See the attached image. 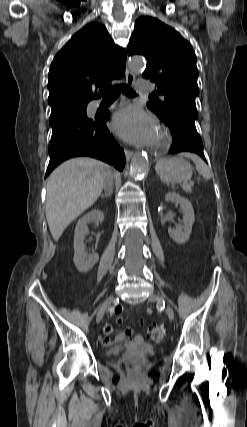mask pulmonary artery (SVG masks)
I'll return each instance as SVG.
<instances>
[{"instance_id":"e3ab8cb5","label":"pulmonary artery","mask_w":247,"mask_h":427,"mask_svg":"<svg viewBox=\"0 0 247 427\" xmlns=\"http://www.w3.org/2000/svg\"><path fill=\"white\" fill-rule=\"evenodd\" d=\"M137 89L141 92H145V91H151L153 89V86L151 83H149L148 81H141L138 86Z\"/></svg>"}]
</instances>
